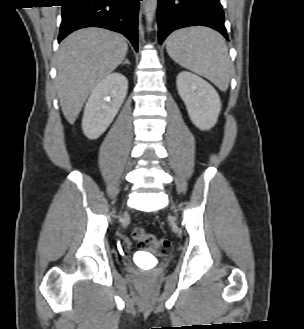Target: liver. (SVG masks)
<instances>
[{"label":"liver","mask_w":304,"mask_h":329,"mask_svg":"<svg viewBox=\"0 0 304 329\" xmlns=\"http://www.w3.org/2000/svg\"><path fill=\"white\" fill-rule=\"evenodd\" d=\"M128 45L118 33L85 28L65 38L56 57V88L62 112L73 124L88 95L125 59Z\"/></svg>","instance_id":"6515ba94"}]
</instances>
